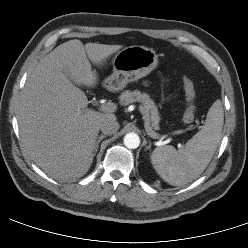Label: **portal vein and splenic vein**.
I'll return each mask as SVG.
<instances>
[{
	"label": "portal vein and splenic vein",
	"instance_id": "18ae733b",
	"mask_svg": "<svg viewBox=\"0 0 248 248\" xmlns=\"http://www.w3.org/2000/svg\"><path fill=\"white\" fill-rule=\"evenodd\" d=\"M116 109H117V106L112 102H108L106 104H103V105H101V108H100V110H102L104 112H109V113L116 111ZM139 111L142 113L143 119H144L145 115H144V111H143L141 106H139ZM145 130L151 138H153V139L159 138V135L157 133H155L149 126L145 125ZM159 143H160L159 145H161L162 142H159Z\"/></svg>",
	"mask_w": 248,
	"mask_h": 248
}]
</instances>
